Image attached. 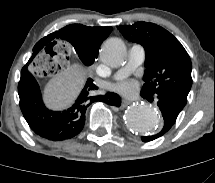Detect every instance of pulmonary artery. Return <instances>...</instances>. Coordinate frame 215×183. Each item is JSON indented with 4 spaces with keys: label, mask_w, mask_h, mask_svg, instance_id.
<instances>
[{
    "label": "pulmonary artery",
    "mask_w": 215,
    "mask_h": 183,
    "mask_svg": "<svg viewBox=\"0 0 215 183\" xmlns=\"http://www.w3.org/2000/svg\"><path fill=\"white\" fill-rule=\"evenodd\" d=\"M145 60V49L140 44H134L131 46L128 55L127 64L121 68L117 74V78L125 77L130 74L134 69L141 65Z\"/></svg>",
    "instance_id": "obj_1"
}]
</instances>
